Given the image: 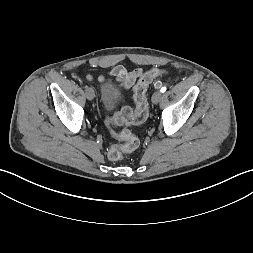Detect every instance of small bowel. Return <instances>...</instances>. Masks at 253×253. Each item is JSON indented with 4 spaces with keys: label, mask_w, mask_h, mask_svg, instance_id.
Listing matches in <instances>:
<instances>
[{
    "label": "small bowel",
    "mask_w": 253,
    "mask_h": 253,
    "mask_svg": "<svg viewBox=\"0 0 253 253\" xmlns=\"http://www.w3.org/2000/svg\"><path fill=\"white\" fill-rule=\"evenodd\" d=\"M142 73L143 71L141 68L127 71L123 66L118 65L111 70L110 75L114 77L122 87L129 89L141 77ZM99 80L102 81L104 78L100 76Z\"/></svg>",
    "instance_id": "obj_1"
}]
</instances>
